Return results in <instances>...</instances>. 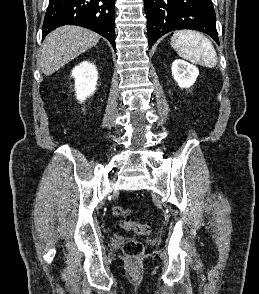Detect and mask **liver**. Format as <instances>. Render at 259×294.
<instances>
[{"label":"liver","instance_id":"liver-1","mask_svg":"<svg viewBox=\"0 0 259 294\" xmlns=\"http://www.w3.org/2000/svg\"><path fill=\"white\" fill-rule=\"evenodd\" d=\"M100 36L83 27L62 26L45 38L40 56L42 72L49 76L94 47Z\"/></svg>","mask_w":259,"mask_h":294}]
</instances>
